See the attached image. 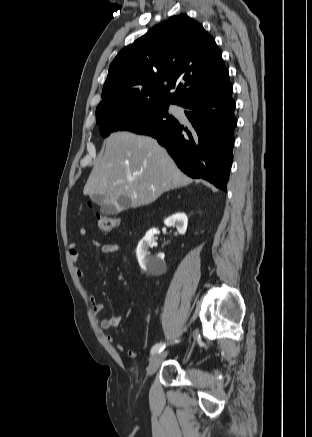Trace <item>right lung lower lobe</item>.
Instances as JSON below:
<instances>
[{
	"instance_id": "right-lung-lower-lobe-1",
	"label": "right lung lower lobe",
	"mask_w": 312,
	"mask_h": 437,
	"mask_svg": "<svg viewBox=\"0 0 312 437\" xmlns=\"http://www.w3.org/2000/svg\"><path fill=\"white\" fill-rule=\"evenodd\" d=\"M229 74L213 88L197 94L180 106L192 124L178 121L149 134L165 147L177 166L192 178H203L226 191L232 165L233 131L237 124Z\"/></svg>"
}]
</instances>
